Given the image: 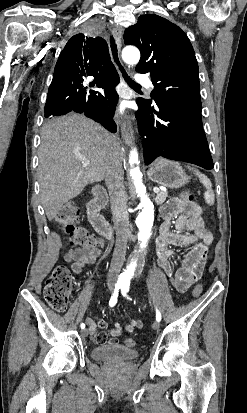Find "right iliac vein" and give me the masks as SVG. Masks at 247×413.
Here are the masks:
<instances>
[{
  "mask_svg": "<svg viewBox=\"0 0 247 413\" xmlns=\"http://www.w3.org/2000/svg\"><path fill=\"white\" fill-rule=\"evenodd\" d=\"M88 334H89V329H83V330L81 331V336H82L83 338L87 337Z\"/></svg>",
  "mask_w": 247,
  "mask_h": 413,
  "instance_id": "right-iliac-vein-1",
  "label": "right iliac vein"
}]
</instances>
